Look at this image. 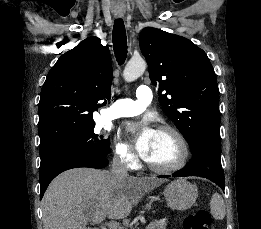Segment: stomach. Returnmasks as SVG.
Wrapping results in <instances>:
<instances>
[{
  "instance_id": "0dacf381",
  "label": "stomach",
  "mask_w": 261,
  "mask_h": 229,
  "mask_svg": "<svg viewBox=\"0 0 261 229\" xmlns=\"http://www.w3.org/2000/svg\"><path fill=\"white\" fill-rule=\"evenodd\" d=\"M164 197L171 209L187 211L194 205L198 191L196 185H192L187 179H176L164 189Z\"/></svg>"
}]
</instances>
